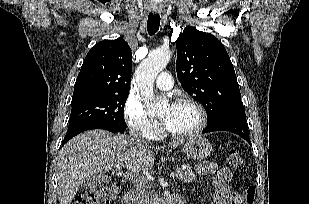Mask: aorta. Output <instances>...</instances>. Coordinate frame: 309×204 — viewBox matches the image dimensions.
<instances>
[{
	"label": "aorta",
	"instance_id": "762f6f07",
	"mask_svg": "<svg viewBox=\"0 0 309 204\" xmlns=\"http://www.w3.org/2000/svg\"><path fill=\"white\" fill-rule=\"evenodd\" d=\"M170 57L169 49H158L150 53L135 71L140 94L150 112H157L162 108V102L155 98L153 84L157 75L167 66Z\"/></svg>",
	"mask_w": 309,
	"mask_h": 204
}]
</instances>
